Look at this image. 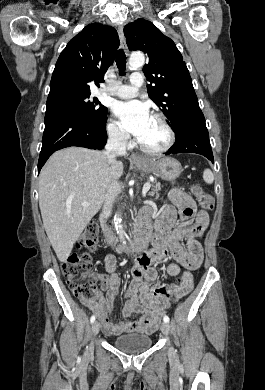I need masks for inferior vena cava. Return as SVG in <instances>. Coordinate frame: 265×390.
I'll return each mask as SVG.
<instances>
[{
	"label": "inferior vena cava",
	"instance_id": "602c4592",
	"mask_svg": "<svg viewBox=\"0 0 265 390\" xmlns=\"http://www.w3.org/2000/svg\"><path fill=\"white\" fill-rule=\"evenodd\" d=\"M104 153L108 159L109 164H112L116 160L117 156L126 155V141L121 133L116 132L110 134L105 146ZM119 190L120 186L117 181L112 182L108 186L101 213V217L103 219H108L110 217L113 202Z\"/></svg>",
	"mask_w": 265,
	"mask_h": 390
}]
</instances>
